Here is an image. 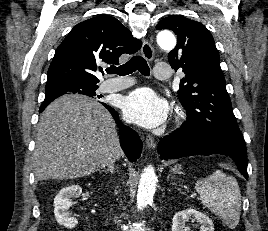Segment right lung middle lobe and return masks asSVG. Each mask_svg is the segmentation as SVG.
<instances>
[{"label":"right lung middle lobe","instance_id":"dd1d6c3e","mask_svg":"<svg viewBox=\"0 0 268 231\" xmlns=\"http://www.w3.org/2000/svg\"><path fill=\"white\" fill-rule=\"evenodd\" d=\"M96 84L81 83L75 81L62 80L46 84L45 99H56L64 94H82L90 97L96 96Z\"/></svg>","mask_w":268,"mask_h":231}]
</instances>
